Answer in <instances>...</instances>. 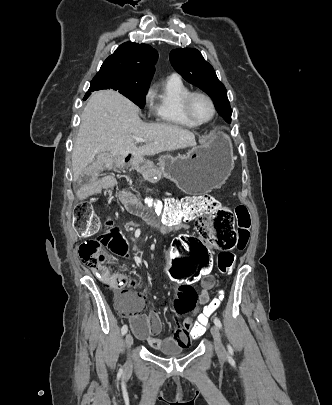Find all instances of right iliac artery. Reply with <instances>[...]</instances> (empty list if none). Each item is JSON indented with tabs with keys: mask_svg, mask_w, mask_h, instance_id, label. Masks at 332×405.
<instances>
[{
	"mask_svg": "<svg viewBox=\"0 0 332 405\" xmlns=\"http://www.w3.org/2000/svg\"><path fill=\"white\" fill-rule=\"evenodd\" d=\"M128 331V326L127 325H123V327L121 328V333L122 335H125Z\"/></svg>",
	"mask_w": 332,
	"mask_h": 405,
	"instance_id": "obj_1",
	"label": "right iliac artery"
}]
</instances>
